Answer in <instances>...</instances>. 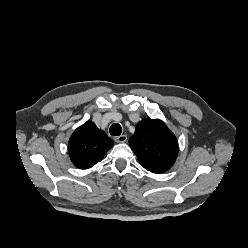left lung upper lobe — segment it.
<instances>
[{"label":"left lung upper lobe","mask_w":248,"mask_h":248,"mask_svg":"<svg viewBox=\"0 0 248 248\" xmlns=\"http://www.w3.org/2000/svg\"><path fill=\"white\" fill-rule=\"evenodd\" d=\"M129 144L141 166L157 174L170 169L178 154L175 135L159 119L140 121Z\"/></svg>","instance_id":"obj_1"}]
</instances>
